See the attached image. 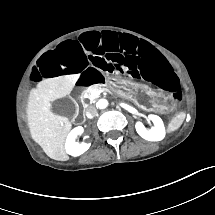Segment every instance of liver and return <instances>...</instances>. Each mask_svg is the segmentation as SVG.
<instances>
[{"label": "liver", "instance_id": "obj_1", "mask_svg": "<svg viewBox=\"0 0 215 215\" xmlns=\"http://www.w3.org/2000/svg\"><path fill=\"white\" fill-rule=\"evenodd\" d=\"M78 77L79 74H71L45 79L29 93L27 115L31 137L52 159L65 155L64 143L72 124L67 117L50 111V101L70 94Z\"/></svg>", "mask_w": 215, "mask_h": 215}]
</instances>
